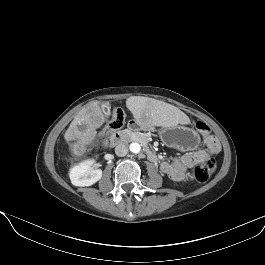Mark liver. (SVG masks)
I'll return each instance as SVG.
<instances>
[{
	"label": "liver",
	"mask_w": 265,
	"mask_h": 265,
	"mask_svg": "<svg viewBox=\"0 0 265 265\" xmlns=\"http://www.w3.org/2000/svg\"><path fill=\"white\" fill-rule=\"evenodd\" d=\"M126 106L139 125L171 127L190 124L189 117L177 107L153 98L131 96L127 98ZM104 120L98 101L88 103L77 113L65 132L67 141L77 140L70 145L74 155H81L85 146L92 143L96 129L101 127Z\"/></svg>",
	"instance_id": "obj_1"
}]
</instances>
